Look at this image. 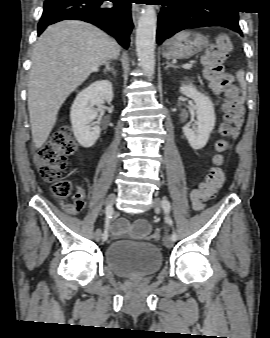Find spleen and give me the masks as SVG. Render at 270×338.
<instances>
[{
    "instance_id": "spleen-1",
    "label": "spleen",
    "mask_w": 270,
    "mask_h": 338,
    "mask_svg": "<svg viewBox=\"0 0 270 338\" xmlns=\"http://www.w3.org/2000/svg\"><path fill=\"white\" fill-rule=\"evenodd\" d=\"M236 77H237V80L241 86V88L243 89V94L245 93V88H246V82L244 80V72L243 71H238L236 73Z\"/></svg>"
}]
</instances>
